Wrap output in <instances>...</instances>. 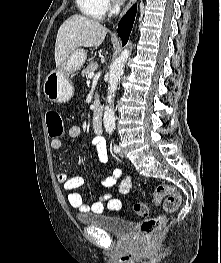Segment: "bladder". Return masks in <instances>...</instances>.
I'll list each match as a JSON object with an SVG mask.
<instances>
[{
    "label": "bladder",
    "instance_id": "31cf9c89",
    "mask_svg": "<svg viewBox=\"0 0 221 263\" xmlns=\"http://www.w3.org/2000/svg\"><path fill=\"white\" fill-rule=\"evenodd\" d=\"M80 221L85 225L100 227L104 231L121 238L127 237L135 227V222L113 214H93L80 217Z\"/></svg>",
    "mask_w": 221,
    "mask_h": 263
}]
</instances>
